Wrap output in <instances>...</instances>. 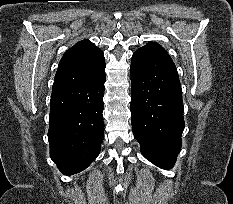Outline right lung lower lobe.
<instances>
[{
  "mask_svg": "<svg viewBox=\"0 0 233 204\" xmlns=\"http://www.w3.org/2000/svg\"><path fill=\"white\" fill-rule=\"evenodd\" d=\"M105 65L89 80L54 91L50 100V157L65 175L87 168L104 139Z\"/></svg>",
  "mask_w": 233,
  "mask_h": 204,
  "instance_id": "obj_1",
  "label": "right lung lower lobe"
}]
</instances>
